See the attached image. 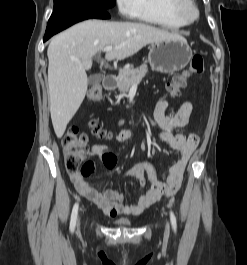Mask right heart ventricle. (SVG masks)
Wrapping results in <instances>:
<instances>
[{
  "instance_id": "obj_1",
  "label": "right heart ventricle",
  "mask_w": 247,
  "mask_h": 265,
  "mask_svg": "<svg viewBox=\"0 0 247 265\" xmlns=\"http://www.w3.org/2000/svg\"><path fill=\"white\" fill-rule=\"evenodd\" d=\"M177 0H138L135 18L170 29L184 27L188 23L174 11Z\"/></svg>"
}]
</instances>
